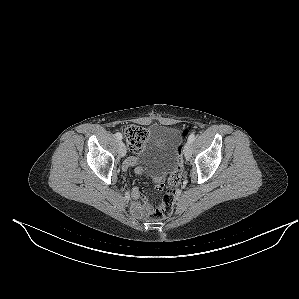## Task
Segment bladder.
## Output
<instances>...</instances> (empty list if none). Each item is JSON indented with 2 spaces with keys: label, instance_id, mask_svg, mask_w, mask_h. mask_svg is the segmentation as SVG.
<instances>
[{
  "label": "bladder",
  "instance_id": "1",
  "mask_svg": "<svg viewBox=\"0 0 299 299\" xmlns=\"http://www.w3.org/2000/svg\"><path fill=\"white\" fill-rule=\"evenodd\" d=\"M180 133L162 125L154 126L138 163L144 170L163 172L171 169L179 157Z\"/></svg>",
  "mask_w": 299,
  "mask_h": 299
}]
</instances>
